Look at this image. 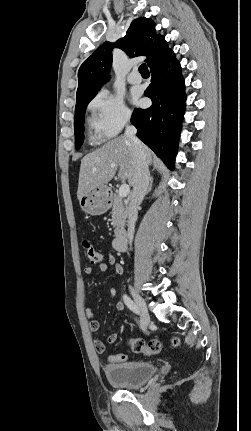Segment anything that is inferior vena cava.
<instances>
[{"instance_id":"inferior-vena-cava-1","label":"inferior vena cava","mask_w":251,"mask_h":431,"mask_svg":"<svg viewBox=\"0 0 251 431\" xmlns=\"http://www.w3.org/2000/svg\"><path fill=\"white\" fill-rule=\"evenodd\" d=\"M136 128L133 125H127L125 129V137H127L133 144L134 160H135V177L133 183V191L129 198L128 207V230L127 238L129 243H132L135 222L138 216V207L144 199L149 186L150 173L146 154L142 143L136 137Z\"/></svg>"}]
</instances>
